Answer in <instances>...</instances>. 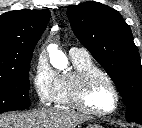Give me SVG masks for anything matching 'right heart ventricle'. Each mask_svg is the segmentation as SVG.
<instances>
[{"label": "right heart ventricle", "instance_id": "obj_1", "mask_svg": "<svg viewBox=\"0 0 142 128\" xmlns=\"http://www.w3.org/2000/svg\"><path fill=\"white\" fill-rule=\"evenodd\" d=\"M71 60L73 63L72 70L57 74L52 101L58 107L77 109L78 107L73 100V87L76 77L82 73L101 70L90 56H71Z\"/></svg>", "mask_w": 142, "mask_h": 128}]
</instances>
